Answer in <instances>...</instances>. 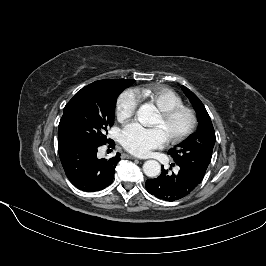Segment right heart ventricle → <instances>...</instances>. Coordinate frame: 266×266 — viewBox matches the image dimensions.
<instances>
[{
  "label": "right heart ventricle",
  "mask_w": 266,
  "mask_h": 266,
  "mask_svg": "<svg viewBox=\"0 0 266 266\" xmlns=\"http://www.w3.org/2000/svg\"><path fill=\"white\" fill-rule=\"evenodd\" d=\"M141 96L146 98L159 111L181 106L184 104L183 99L170 88H145L140 90Z\"/></svg>",
  "instance_id": "right-heart-ventricle-1"
}]
</instances>
